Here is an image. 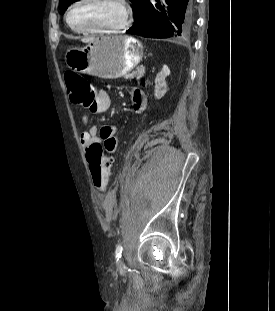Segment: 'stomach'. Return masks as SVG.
<instances>
[{
	"mask_svg": "<svg viewBox=\"0 0 275 311\" xmlns=\"http://www.w3.org/2000/svg\"><path fill=\"white\" fill-rule=\"evenodd\" d=\"M143 46L128 36H100L83 48H70L65 63L73 71L103 79L126 75L142 60Z\"/></svg>",
	"mask_w": 275,
	"mask_h": 311,
	"instance_id": "1",
	"label": "stomach"
}]
</instances>
